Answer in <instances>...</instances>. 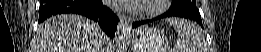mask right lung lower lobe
Returning <instances> with one entry per match:
<instances>
[{
    "label": "right lung lower lobe",
    "mask_w": 261,
    "mask_h": 52,
    "mask_svg": "<svg viewBox=\"0 0 261 52\" xmlns=\"http://www.w3.org/2000/svg\"><path fill=\"white\" fill-rule=\"evenodd\" d=\"M76 13L99 23L108 36L114 37L118 24L116 15L101 0H41L39 23L55 14Z\"/></svg>",
    "instance_id": "1"
}]
</instances>
